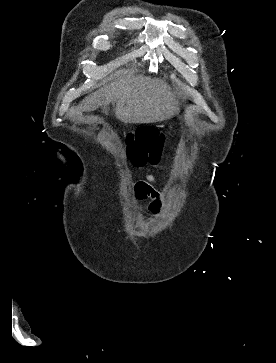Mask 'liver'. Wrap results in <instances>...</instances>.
<instances>
[{
	"label": "liver",
	"instance_id": "1",
	"mask_svg": "<svg viewBox=\"0 0 276 363\" xmlns=\"http://www.w3.org/2000/svg\"><path fill=\"white\" fill-rule=\"evenodd\" d=\"M124 74V70H119L115 81L85 97L79 109L91 111L116 104V117L126 124L160 122L179 111L175 94L163 80Z\"/></svg>",
	"mask_w": 276,
	"mask_h": 363
}]
</instances>
